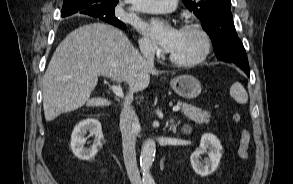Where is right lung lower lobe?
Instances as JSON below:
<instances>
[{"mask_svg": "<svg viewBox=\"0 0 293 184\" xmlns=\"http://www.w3.org/2000/svg\"><path fill=\"white\" fill-rule=\"evenodd\" d=\"M101 20L106 21V22H108V23H110V24H112L114 26H117V27H119L121 29H125V24L120 22L119 20L118 21H111V20H107L105 18H102Z\"/></svg>", "mask_w": 293, "mask_h": 184, "instance_id": "98d812e1", "label": "right lung lower lobe"}]
</instances>
